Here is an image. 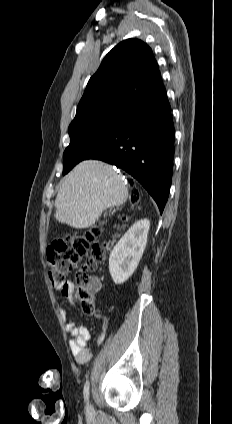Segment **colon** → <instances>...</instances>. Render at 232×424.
<instances>
[{
    "mask_svg": "<svg viewBox=\"0 0 232 424\" xmlns=\"http://www.w3.org/2000/svg\"><path fill=\"white\" fill-rule=\"evenodd\" d=\"M132 199L135 202L138 201L137 191L132 193ZM101 234V226H95L85 234L75 236L69 241L61 240L52 243L46 251V262L50 268L49 278L55 284L65 283L67 276L81 259L87 257L75 276L77 285L75 297L87 315L95 313L96 281L90 276V272L104 259V249L96 243Z\"/></svg>",
    "mask_w": 232,
    "mask_h": 424,
    "instance_id": "colon-1",
    "label": "colon"
}]
</instances>
